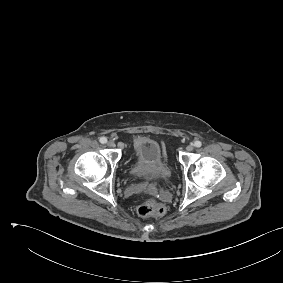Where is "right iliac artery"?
Returning <instances> with one entry per match:
<instances>
[{
  "label": "right iliac artery",
  "mask_w": 283,
  "mask_h": 283,
  "mask_svg": "<svg viewBox=\"0 0 283 283\" xmlns=\"http://www.w3.org/2000/svg\"><path fill=\"white\" fill-rule=\"evenodd\" d=\"M99 141H100V143L105 144L107 142V138L101 137Z\"/></svg>",
  "instance_id": "82829eb1"
}]
</instances>
